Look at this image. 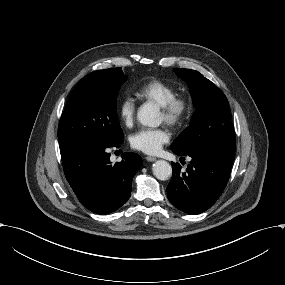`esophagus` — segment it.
Instances as JSON below:
<instances>
[{
	"label": "esophagus",
	"instance_id": "34e87169",
	"mask_svg": "<svg viewBox=\"0 0 285 285\" xmlns=\"http://www.w3.org/2000/svg\"><path fill=\"white\" fill-rule=\"evenodd\" d=\"M145 159H146L147 161H149V162H153V161L156 160V158H155V157H152V156H147V157H145Z\"/></svg>",
	"mask_w": 285,
	"mask_h": 285
}]
</instances>
